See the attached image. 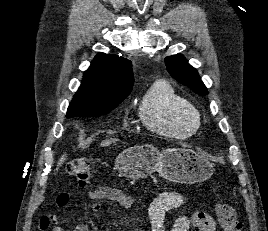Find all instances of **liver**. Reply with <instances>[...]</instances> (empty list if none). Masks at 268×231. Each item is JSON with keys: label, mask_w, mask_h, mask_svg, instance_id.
Instances as JSON below:
<instances>
[{"label": "liver", "mask_w": 268, "mask_h": 231, "mask_svg": "<svg viewBox=\"0 0 268 231\" xmlns=\"http://www.w3.org/2000/svg\"><path fill=\"white\" fill-rule=\"evenodd\" d=\"M116 140L115 139H110V140H105L101 143V146H109L111 143L115 142ZM67 158V154H63L61 156V158L59 159V162L57 164V167H56V171L59 169L60 166H62V164L64 163V161L66 160Z\"/></svg>", "instance_id": "1"}]
</instances>
